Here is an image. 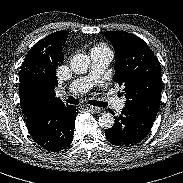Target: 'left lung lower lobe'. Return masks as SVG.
I'll list each match as a JSON object with an SVG mask.
<instances>
[{
  "label": "left lung lower lobe",
  "mask_w": 183,
  "mask_h": 183,
  "mask_svg": "<svg viewBox=\"0 0 183 183\" xmlns=\"http://www.w3.org/2000/svg\"><path fill=\"white\" fill-rule=\"evenodd\" d=\"M153 122L154 120L135 110L123 108L121 115L115 117L114 126L105 132V136L114 145L132 146L148 135Z\"/></svg>",
  "instance_id": "left-lung-lower-lobe-1"
}]
</instances>
